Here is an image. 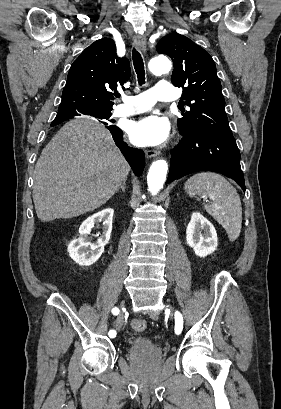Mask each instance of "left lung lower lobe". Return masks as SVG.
I'll use <instances>...</instances> for the list:
<instances>
[{
	"label": "left lung lower lobe",
	"instance_id": "obj_1",
	"mask_svg": "<svg viewBox=\"0 0 281 409\" xmlns=\"http://www.w3.org/2000/svg\"><path fill=\"white\" fill-rule=\"evenodd\" d=\"M171 153L167 182L198 171H215L232 178L245 192L240 152L233 135L199 129L183 134Z\"/></svg>",
	"mask_w": 281,
	"mask_h": 409
}]
</instances>
